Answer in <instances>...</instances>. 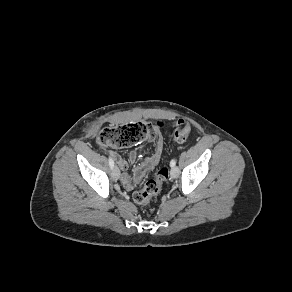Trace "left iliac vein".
<instances>
[{
    "label": "left iliac vein",
    "instance_id": "1",
    "mask_svg": "<svg viewBox=\"0 0 292 292\" xmlns=\"http://www.w3.org/2000/svg\"><path fill=\"white\" fill-rule=\"evenodd\" d=\"M179 175V169L177 167H172L170 170V176L171 178L175 179Z\"/></svg>",
    "mask_w": 292,
    "mask_h": 292
}]
</instances>
